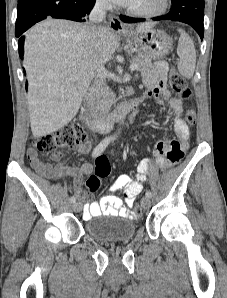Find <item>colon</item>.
Masks as SVG:
<instances>
[{
	"instance_id": "obj_1",
	"label": "colon",
	"mask_w": 227,
	"mask_h": 298,
	"mask_svg": "<svg viewBox=\"0 0 227 298\" xmlns=\"http://www.w3.org/2000/svg\"><path fill=\"white\" fill-rule=\"evenodd\" d=\"M169 84L175 92L181 94L184 98H189L191 96V90L188 87L186 80L175 69H172L169 73ZM186 121L190 125L195 124L196 114L194 110H188ZM85 139V131L80 125H68L59 131L35 138L34 144L41 152L55 154L60 153L62 149L83 143ZM109 173L110 164L108 159L104 156L99 157L96 161L95 173L87 180L89 191H97L101 186V179L107 177ZM134 211L140 213L141 208L137 205Z\"/></svg>"
}]
</instances>
